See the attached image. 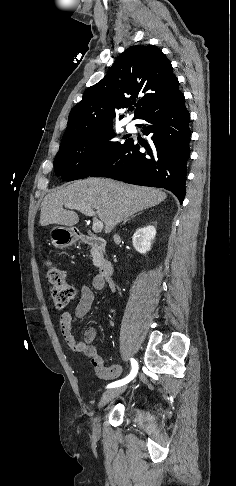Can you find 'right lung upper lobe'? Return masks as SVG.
I'll list each match as a JSON object with an SVG mask.
<instances>
[{"label":"right lung upper lobe","mask_w":236,"mask_h":486,"mask_svg":"<svg viewBox=\"0 0 236 486\" xmlns=\"http://www.w3.org/2000/svg\"><path fill=\"white\" fill-rule=\"evenodd\" d=\"M172 69L170 61L153 45L125 50L71 110L61 144L112 127L115 109L130 107L136 98H141L135 111L137 119L151 105L178 97L179 82Z\"/></svg>","instance_id":"right-lung-upper-lobe-1"}]
</instances>
